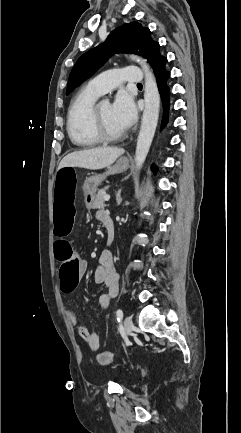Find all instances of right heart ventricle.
I'll use <instances>...</instances> for the list:
<instances>
[{
    "instance_id": "right-heart-ventricle-1",
    "label": "right heart ventricle",
    "mask_w": 241,
    "mask_h": 433,
    "mask_svg": "<svg viewBox=\"0 0 241 433\" xmlns=\"http://www.w3.org/2000/svg\"><path fill=\"white\" fill-rule=\"evenodd\" d=\"M98 97L84 87L70 105L67 130L71 142L77 147L91 148L100 143L92 128V110Z\"/></svg>"
}]
</instances>
